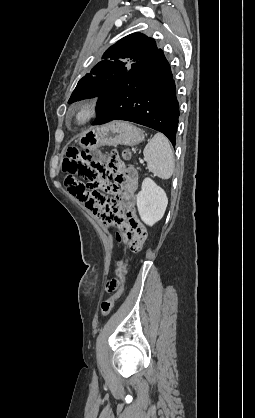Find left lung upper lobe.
Listing matches in <instances>:
<instances>
[{
    "instance_id": "obj_1",
    "label": "left lung upper lobe",
    "mask_w": 255,
    "mask_h": 418,
    "mask_svg": "<svg viewBox=\"0 0 255 418\" xmlns=\"http://www.w3.org/2000/svg\"><path fill=\"white\" fill-rule=\"evenodd\" d=\"M158 50L154 39L141 33L130 34L112 45L90 73L79 80L68 103L100 97L133 67Z\"/></svg>"
}]
</instances>
